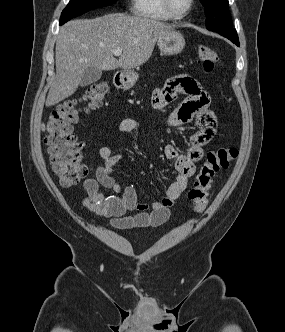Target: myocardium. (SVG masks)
<instances>
[{
	"mask_svg": "<svg viewBox=\"0 0 285 332\" xmlns=\"http://www.w3.org/2000/svg\"><path fill=\"white\" fill-rule=\"evenodd\" d=\"M163 2V6L165 8V10L175 19H183L185 18L193 9L194 5H195V0H189V5L187 7V9L183 12H178L173 4L171 0H162Z\"/></svg>",
	"mask_w": 285,
	"mask_h": 332,
	"instance_id": "obj_1",
	"label": "myocardium"
}]
</instances>
